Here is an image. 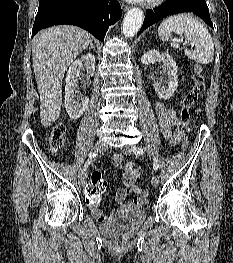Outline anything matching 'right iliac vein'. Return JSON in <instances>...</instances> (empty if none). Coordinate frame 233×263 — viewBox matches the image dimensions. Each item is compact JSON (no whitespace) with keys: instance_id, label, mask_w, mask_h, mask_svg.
<instances>
[{"instance_id":"63e3f726","label":"right iliac vein","mask_w":233,"mask_h":263,"mask_svg":"<svg viewBox=\"0 0 233 263\" xmlns=\"http://www.w3.org/2000/svg\"><path fill=\"white\" fill-rule=\"evenodd\" d=\"M107 149V144L103 140H99L96 142L94 146V152H101ZM86 174L83 170H80L78 174V183L83 186L85 184Z\"/></svg>"}]
</instances>
